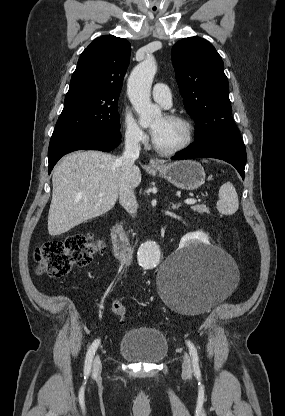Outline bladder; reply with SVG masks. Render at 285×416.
Segmentation results:
<instances>
[{"label":"bladder","mask_w":285,"mask_h":416,"mask_svg":"<svg viewBox=\"0 0 285 416\" xmlns=\"http://www.w3.org/2000/svg\"><path fill=\"white\" fill-rule=\"evenodd\" d=\"M166 337L157 328L136 327L126 330L118 353L134 362H158L167 355Z\"/></svg>","instance_id":"1"}]
</instances>
